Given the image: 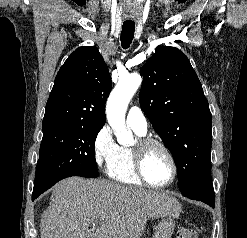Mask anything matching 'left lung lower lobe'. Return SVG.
Listing matches in <instances>:
<instances>
[{"instance_id": "1", "label": "left lung lower lobe", "mask_w": 247, "mask_h": 238, "mask_svg": "<svg viewBox=\"0 0 247 238\" xmlns=\"http://www.w3.org/2000/svg\"><path fill=\"white\" fill-rule=\"evenodd\" d=\"M204 202L209 204L210 206L214 207L215 206V197H214V189H211L210 196L208 198L203 199Z\"/></svg>"}]
</instances>
